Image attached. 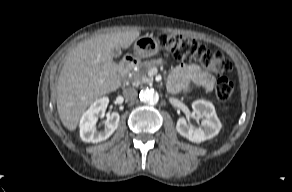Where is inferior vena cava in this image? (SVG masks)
Returning a JSON list of instances; mask_svg holds the SVG:
<instances>
[{
    "label": "inferior vena cava",
    "instance_id": "602c4592",
    "mask_svg": "<svg viewBox=\"0 0 292 192\" xmlns=\"http://www.w3.org/2000/svg\"><path fill=\"white\" fill-rule=\"evenodd\" d=\"M124 97L129 101H135L138 96V92L133 87H128L123 91Z\"/></svg>",
    "mask_w": 292,
    "mask_h": 192
}]
</instances>
